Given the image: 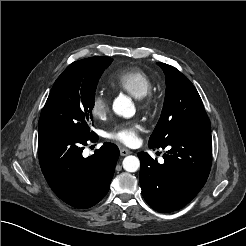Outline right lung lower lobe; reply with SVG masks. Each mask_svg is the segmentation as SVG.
I'll return each instance as SVG.
<instances>
[{
	"instance_id": "1",
	"label": "right lung lower lobe",
	"mask_w": 246,
	"mask_h": 246,
	"mask_svg": "<svg viewBox=\"0 0 246 246\" xmlns=\"http://www.w3.org/2000/svg\"><path fill=\"white\" fill-rule=\"evenodd\" d=\"M78 133L60 130H39L38 153L42 172L55 194L76 208H90L107 194L119 157L112 143L84 158L87 141Z\"/></svg>"
}]
</instances>
